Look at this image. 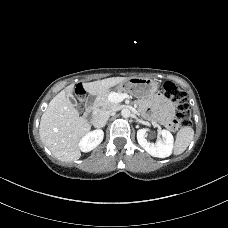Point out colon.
Returning a JSON list of instances; mask_svg holds the SVG:
<instances>
[{
	"instance_id": "colon-1",
	"label": "colon",
	"mask_w": 228,
	"mask_h": 228,
	"mask_svg": "<svg viewBox=\"0 0 228 228\" xmlns=\"http://www.w3.org/2000/svg\"><path fill=\"white\" fill-rule=\"evenodd\" d=\"M162 89L163 95L177 105V116L169 121V128L175 130L179 127L190 126L191 112L186 93L170 81L165 82ZM78 94H84V90L81 87L78 88Z\"/></svg>"
}]
</instances>
